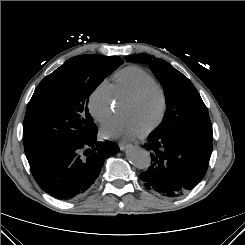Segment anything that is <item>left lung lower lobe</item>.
<instances>
[{"label":"left lung lower lobe","instance_id":"obj_1","mask_svg":"<svg viewBox=\"0 0 245 245\" xmlns=\"http://www.w3.org/2000/svg\"><path fill=\"white\" fill-rule=\"evenodd\" d=\"M151 166L140 174L148 190L177 197L204 177L212 153V140L192 131L154 132L144 145Z\"/></svg>","mask_w":245,"mask_h":245}]
</instances>
